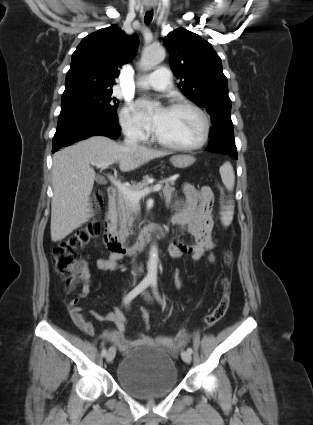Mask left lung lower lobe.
Segmentation results:
<instances>
[{"label": "left lung lower lobe", "mask_w": 313, "mask_h": 425, "mask_svg": "<svg viewBox=\"0 0 313 425\" xmlns=\"http://www.w3.org/2000/svg\"><path fill=\"white\" fill-rule=\"evenodd\" d=\"M207 150L232 155L235 159H237L232 125L214 126L210 131V142Z\"/></svg>", "instance_id": "left-lung-lower-lobe-1"}]
</instances>
